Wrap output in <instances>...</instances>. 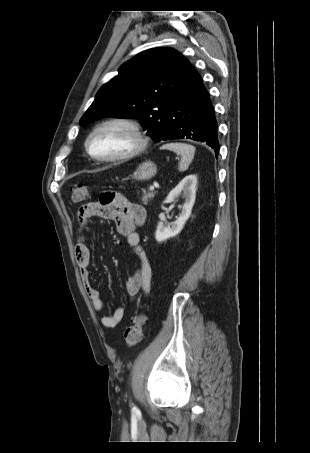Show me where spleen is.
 Wrapping results in <instances>:
<instances>
[{"instance_id":"obj_1","label":"spleen","mask_w":310,"mask_h":453,"mask_svg":"<svg viewBox=\"0 0 310 453\" xmlns=\"http://www.w3.org/2000/svg\"><path fill=\"white\" fill-rule=\"evenodd\" d=\"M161 149L170 150L177 155H181V160L178 165V170L180 172H184L189 168L195 154V147L186 143H168L163 145Z\"/></svg>"}]
</instances>
